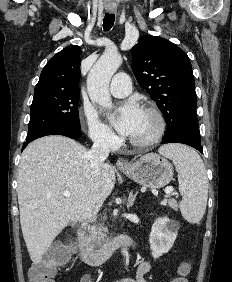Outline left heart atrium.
<instances>
[{"label":"left heart atrium","mask_w":232,"mask_h":282,"mask_svg":"<svg viewBox=\"0 0 232 282\" xmlns=\"http://www.w3.org/2000/svg\"><path fill=\"white\" fill-rule=\"evenodd\" d=\"M143 110L134 100L122 104L116 111L109 114V119L122 135L131 136L136 130Z\"/></svg>","instance_id":"obj_1"}]
</instances>
